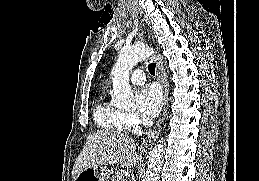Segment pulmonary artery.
I'll return each mask as SVG.
<instances>
[{
	"mask_svg": "<svg viewBox=\"0 0 259 181\" xmlns=\"http://www.w3.org/2000/svg\"><path fill=\"white\" fill-rule=\"evenodd\" d=\"M130 81L133 84H143L145 82V77L142 71H135L131 77H130Z\"/></svg>",
	"mask_w": 259,
	"mask_h": 181,
	"instance_id": "obj_1",
	"label": "pulmonary artery"
}]
</instances>
